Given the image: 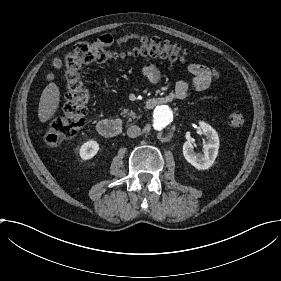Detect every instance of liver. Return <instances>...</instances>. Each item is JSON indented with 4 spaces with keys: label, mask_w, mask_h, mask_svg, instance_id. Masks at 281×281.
Returning <instances> with one entry per match:
<instances>
[{
    "label": "liver",
    "mask_w": 281,
    "mask_h": 281,
    "mask_svg": "<svg viewBox=\"0 0 281 281\" xmlns=\"http://www.w3.org/2000/svg\"><path fill=\"white\" fill-rule=\"evenodd\" d=\"M61 103V89L55 81L48 83L44 88L39 102L38 118L40 123L45 124L51 120Z\"/></svg>",
    "instance_id": "liver-1"
}]
</instances>
